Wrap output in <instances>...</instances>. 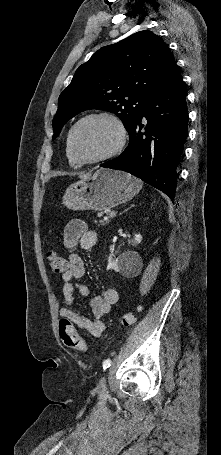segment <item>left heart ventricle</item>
<instances>
[{"label":"left heart ventricle","mask_w":221,"mask_h":455,"mask_svg":"<svg viewBox=\"0 0 221 455\" xmlns=\"http://www.w3.org/2000/svg\"><path fill=\"white\" fill-rule=\"evenodd\" d=\"M117 142L114 126L101 119L83 123L76 133L75 145L84 158H95L112 149Z\"/></svg>","instance_id":"b2bd125f"}]
</instances>
